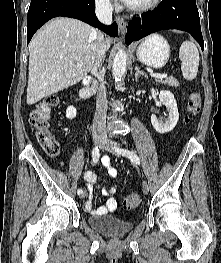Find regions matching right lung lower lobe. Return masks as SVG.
<instances>
[{
  "instance_id": "98d812e1",
  "label": "right lung lower lobe",
  "mask_w": 221,
  "mask_h": 263,
  "mask_svg": "<svg viewBox=\"0 0 221 263\" xmlns=\"http://www.w3.org/2000/svg\"><path fill=\"white\" fill-rule=\"evenodd\" d=\"M57 16L76 18L112 37L118 35L116 22L105 26L98 21L95 14V0H31L28 10L27 43L44 23Z\"/></svg>"
}]
</instances>
